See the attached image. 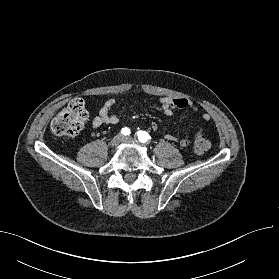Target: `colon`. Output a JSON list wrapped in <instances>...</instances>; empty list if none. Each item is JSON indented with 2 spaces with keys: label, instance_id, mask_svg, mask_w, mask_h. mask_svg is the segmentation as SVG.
Returning a JSON list of instances; mask_svg holds the SVG:
<instances>
[{
  "label": "colon",
  "instance_id": "colon-1",
  "mask_svg": "<svg viewBox=\"0 0 279 279\" xmlns=\"http://www.w3.org/2000/svg\"><path fill=\"white\" fill-rule=\"evenodd\" d=\"M87 119L85 103L82 99L72 100L52 120L51 131L56 136H75L83 128ZM210 148V142L203 136L194 142L197 153H204Z\"/></svg>",
  "mask_w": 279,
  "mask_h": 279
}]
</instances>
